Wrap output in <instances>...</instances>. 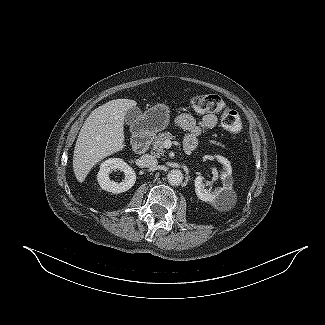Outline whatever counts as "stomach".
I'll return each instance as SVG.
<instances>
[{"label":"stomach","mask_w":325,"mask_h":325,"mask_svg":"<svg viewBox=\"0 0 325 325\" xmlns=\"http://www.w3.org/2000/svg\"><path fill=\"white\" fill-rule=\"evenodd\" d=\"M169 108L164 104H157L148 109L138 120L140 131L156 133L169 124Z\"/></svg>","instance_id":"0dacf381"}]
</instances>
